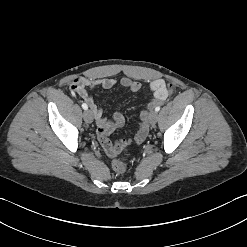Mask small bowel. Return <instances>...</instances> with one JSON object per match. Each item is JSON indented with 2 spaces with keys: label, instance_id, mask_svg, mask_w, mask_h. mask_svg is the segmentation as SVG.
<instances>
[{
  "label": "small bowel",
  "instance_id": "small-bowel-1",
  "mask_svg": "<svg viewBox=\"0 0 247 247\" xmlns=\"http://www.w3.org/2000/svg\"><path fill=\"white\" fill-rule=\"evenodd\" d=\"M119 83L122 87L127 88L133 92H137L143 88V84L139 81L132 80L127 77H123L119 80L113 78H87L78 77L75 78L70 86L72 93L85 101L95 117L97 124L98 139L106 152L110 157L117 154V147L125 144L124 141L112 142L109 140L108 135L113 132L116 128L124 124V116L121 113H115L111 119H107L104 116L103 110L99 107L92 96L89 94L88 89L103 88L111 89ZM148 89L153 95V100L150 106L160 103L168 96V90L165 82L162 79H156L148 85ZM147 111L141 113V122L139 123L137 132L134 137V141L139 143L142 142L148 133V118ZM104 132V137H101L100 133Z\"/></svg>",
  "mask_w": 247,
  "mask_h": 247
}]
</instances>
